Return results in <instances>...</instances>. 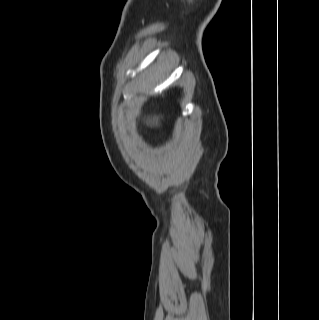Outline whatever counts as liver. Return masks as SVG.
Returning <instances> with one entry per match:
<instances>
[{
    "label": "liver",
    "mask_w": 319,
    "mask_h": 320,
    "mask_svg": "<svg viewBox=\"0 0 319 320\" xmlns=\"http://www.w3.org/2000/svg\"><path fill=\"white\" fill-rule=\"evenodd\" d=\"M146 123H147V125L150 124L151 126H152V125H155V124L157 125V124H158V118H157V117H154L153 119L147 121Z\"/></svg>",
    "instance_id": "obj_1"
}]
</instances>
